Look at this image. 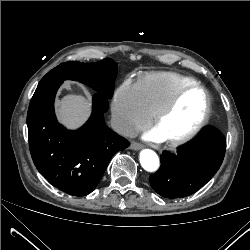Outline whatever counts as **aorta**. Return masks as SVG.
Segmentation results:
<instances>
[{
  "instance_id": "aorta-1",
  "label": "aorta",
  "mask_w": 250,
  "mask_h": 250,
  "mask_svg": "<svg viewBox=\"0 0 250 250\" xmlns=\"http://www.w3.org/2000/svg\"><path fill=\"white\" fill-rule=\"evenodd\" d=\"M140 163L143 169L146 171L154 172L159 167V158L154 151L150 149H144L140 153Z\"/></svg>"
}]
</instances>
